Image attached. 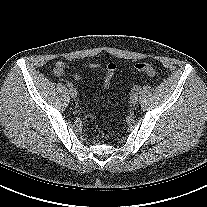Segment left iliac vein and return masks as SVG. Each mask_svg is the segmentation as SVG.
Wrapping results in <instances>:
<instances>
[{"instance_id": "4c4485c4", "label": "left iliac vein", "mask_w": 207, "mask_h": 207, "mask_svg": "<svg viewBox=\"0 0 207 207\" xmlns=\"http://www.w3.org/2000/svg\"><path fill=\"white\" fill-rule=\"evenodd\" d=\"M138 101V94L137 92H132L131 95H130V103L131 104H136Z\"/></svg>"}]
</instances>
